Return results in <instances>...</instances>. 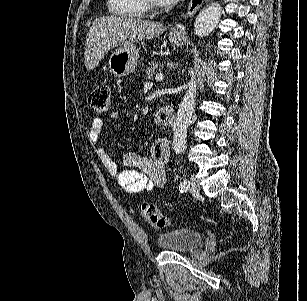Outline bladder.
I'll list each match as a JSON object with an SVG mask.
<instances>
[{
  "label": "bladder",
  "instance_id": "bladder-1",
  "mask_svg": "<svg viewBox=\"0 0 307 301\" xmlns=\"http://www.w3.org/2000/svg\"><path fill=\"white\" fill-rule=\"evenodd\" d=\"M158 246L166 251H191L203 241V234L192 229H179L157 235Z\"/></svg>",
  "mask_w": 307,
  "mask_h": 301
}]
</instances>
